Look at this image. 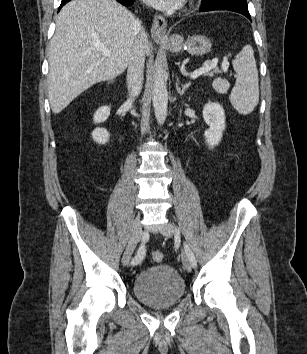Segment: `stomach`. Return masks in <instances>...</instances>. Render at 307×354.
Returning a JSON list of instances; mask_svg holds the SVG:
<instances>
[{"mask_svg":"<svg viewBox=\"0 0 307 354\" xmlns=\"http://www.w3.org/2000/svg\"><path fill=\"white\" fill-rule=\"evenodd\" d=\"M212 43L203 35H191L186 40L181 35L173 34L167 40V48L173 52L186 50L189 54L202 56L210 52Z\"/></svg>","mask_w":307,"mask_h":354,"instance_id":"0dacf381","label":"stomach"}]
</instances>
